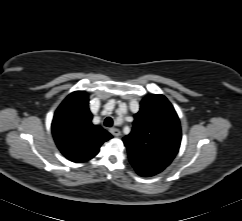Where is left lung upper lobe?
<instances>
[{
    "instance_id": "obj_1",
    "label": "left lung upper lobe",
    "mask_w": 242,
    "mask_h": 221,
    "mask_svg": "<svg viewBox=\"0 0 242 221\" xmlns=\"http://www.w3.org/2000/svg\"><path fill=\"white\" fill-rule=\"evenodd\" d=\"M131 133L123 138L129 158L167 167L181 142L179 118L166 97L151 94L141 101Z\"/></svg>"
}]
</instances>
